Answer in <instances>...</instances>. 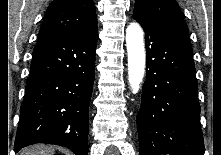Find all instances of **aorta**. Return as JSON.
<instances>
[{
	"label": "aorta",
	"instance_id": "1",
	"mask_svg": "<svg viewBox=\"0 0 221 155\" xmlns=\"http://www.w3.org/2000/svg\"><path fill=\"white\" fill-rule=\"evenodd\" d=\"M128 52V81L133 93H137L145 72V47L143 30L138 23H131L126 29Z\"/></svg>",
	"mask_w": 221,
	"mask_h": 155
}]
</instances>
